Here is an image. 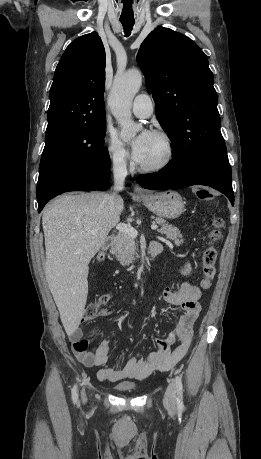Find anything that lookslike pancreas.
Wrapping results in <instances>:
<instances>
[{"label":"pancreas","instance_id":"cf45deb5","mask_svg":"<svg viewBox=\"0 0 261 459\" xmlns=\"http://www.w3.org/2000/svg\"><path fill=\"white\" fill-rule=\"evenodd\" d=\"M155 222L161 225V228L158 230L159 233L166 235L176 245L183 244L184 239L178 228L166 223V220L161 217H156ZM110 252L116 256L121 265H129L135 259L136 243L128 234L119 232L113 240Z\"/></svg>","mask_w":261,"mask_h":459}]
</instances>
